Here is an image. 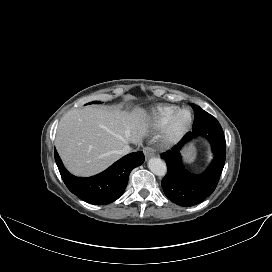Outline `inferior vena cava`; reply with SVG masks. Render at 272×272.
<instances>
[{
	"label": "inferior vena cava",
	"mask_w": 272,
	"mask_h": 272,
	"mask_svg": "<svg viewBox=\"0 0 272 272\" xmlns=\"http://www.w3.org/2000/svg\"><path fill=\"white\" fill-rule=\"evenodd\" d=\"M132 149L130 148L129 145H125L120 151H119V154L120 155H126L128 154L129 152H131Z\"/></svg>",
	"instance_id": "obj_1"
}]
</instances>
